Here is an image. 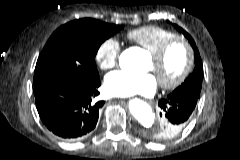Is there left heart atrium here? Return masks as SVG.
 Returning a JSON list of instances; mask_svg holds the SVG:
<instances>
[{
  "mask_svg": "<svg viewBox=\"0 0 240 160\" xmlns=\"http://www.w3.org/2000/svg\"><path fill=\"white\" fill-rule=\"evenodd\" d=\"M104 89L112 96H152L157 90V79L152 74L134 75L115 71L105 78Z\"/></svg>",
  "mask_w": 240,
  "mask_h": 160,
  "instance_id": "left-heart-atrium-1",
  "label": "left heart atrium"
}]
</instances>
